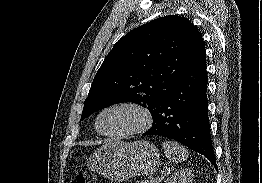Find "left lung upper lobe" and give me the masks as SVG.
<instances>
[{
	"label": "left lung upper lobe",
	"instance_id": "obj_1",
	"mask_svg": "<svg viewBox=\"0 0 262 183\" xmlns=\"http://www.w3.org/2000/svg\"><path fill=\"white\" fill-rule=\"evenodd\" d=\"M205 51L186 18L168 15L122 37L105 57L85 100L81 121L113 104H142L154 118L181 75Z\"/></svg>",
	"mask_w": 262,
	"mask_h": 183
}]
</instances>
